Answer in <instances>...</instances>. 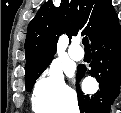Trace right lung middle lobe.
<instances>
[{
	"mask_svg": "<svg viewBox=\"0 0 121 113\" xmlns=\"http://www.w3.org/2000/svg\"><path fill=\"white\" fill-rule=\"evenodd\" d=\"M53 57H49L42 62H40L38 65H36L33 68H30L25 71L26 74V90L30 92L33 88V85L36 81V79L41 75V73L48 67L49 63Z\"/></svg>",
	"mask_w": 121,
	"mask_h": 113,
	"instance_id": "1",
	"label": "right lung middle lobe"
}]
</instances>
